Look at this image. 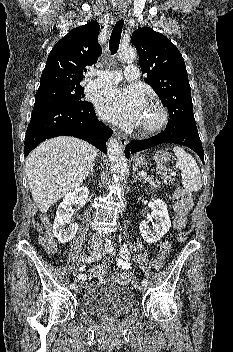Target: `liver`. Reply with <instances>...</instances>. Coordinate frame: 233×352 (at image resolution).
Listing matches in <instances>:
<instances>
[{"instance_id": "liver-1", "label": "liver", "mask_w": 233, "mask_h": 352, "mask_svg": "<svg viewBox=\"0 0 233 352\" xmlns=\"http://www.w3.org/2000/svg\"><path fill=\"white\" fill-rule=\"evenodd\" d=\"M95 157L96 149L91 144L70 136L47 140L30 153L26 174L41 213L82 185Z\"/></svg>"}]
</instances>
